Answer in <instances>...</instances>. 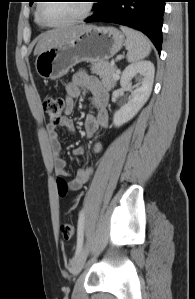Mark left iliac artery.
<instances>
[{
    "mask_svg": "<svg viewBox=\"0 0 195 299\" xmlns=\"http://www.w3.org/2000/svg\"><path fill=\"white\" fill-rule=\"evenodd\" d=\"M83 231H84V213L80 212L79 220H78L77 248L75 252V257L80 252L83 245V237H84Z\"/></svg>",
    "mask_w": 195,
    "mask_h": 299,
    "instance_id": "obj_1",
    "label": "left iliac artery"
}]
</instances>
